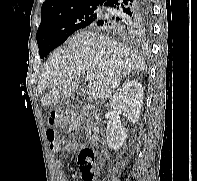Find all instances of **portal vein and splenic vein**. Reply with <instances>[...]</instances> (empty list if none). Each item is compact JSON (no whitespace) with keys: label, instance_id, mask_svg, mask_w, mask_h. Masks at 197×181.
I'll return each mask as SVG.
<instances>
[{"label":"portal vein and splenic vein","instance_id":"1","mask_svg":"<svg viewBox=\"0 0 197 181\" xmlns=\"http://www.w3.org/2000/svg\"><path fill=\"white\" fill-rule=\"evenodd\" d=\"M95 75L93 73H88L87 74V80L89 82H92L94 80Z\"/></svg>","mask_w":197,"mask_h":181}]
</instances>
